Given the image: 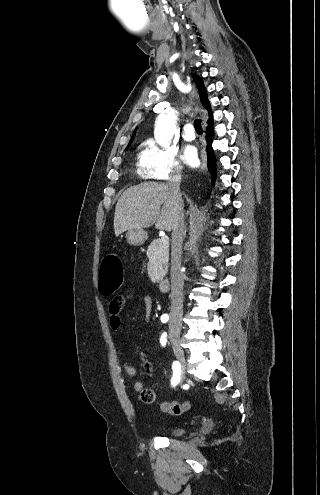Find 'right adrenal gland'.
<instances>
[{
  "label": "right adrenal gland",
  "mask_w": 320,
  "mask_h": 495,
  "mask_svg": "<svg viewBox=\"0 0 320 495\" xmlns=\"http://www.w3.org/2000/svg\"><path fill=\"white\" fill-rule=\"evenodd\" d=\"M186 233H187V225H185V231H184V236L186 237Z\"/></svg>",
  "instance_id": "obj_1"
}]
</instances>
